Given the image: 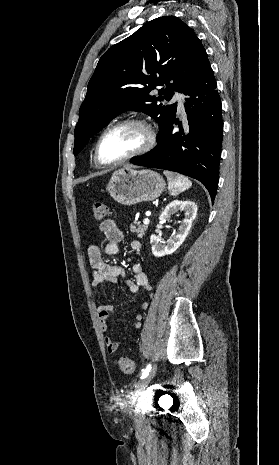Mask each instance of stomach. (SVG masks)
Here are the masks:
<instances>
[{"label": "stomach", "instance_id": "stomach-1", "mask_svg": "<svg viewBox=\"0 0 279 465\" xmlns=\"http://www.w3.org/2000/svg\"><path fill=\"white\" fill-rule=\"evenodd\" d=\"M165 185L163 177L155 171L124 167L112 174L107 190L115 201L130 206L155 200Z\"/></svg>", "mask_w": 279, "mask_h": 465}]
</instances>
